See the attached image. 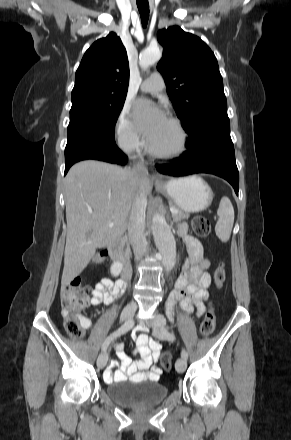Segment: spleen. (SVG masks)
I'll use <instances>...</instances> for the list:
<instances>
[{"mask_svg": "<svg viewBox=\"0 0 291 440\" xmlns=\"http://www.w3.org/2000/svg\"><path fill=\"white\" fill-rule=\"evenodd\" d=\"M217 215L218 221L215 226L216 235L222 242H227L230 238L234 223V209L228 197H222Z\"/></svg>", "mask_w": 291, "mask_h": 440, "instance_id": "obj_1", "label": "spleen"}]
</instances>
